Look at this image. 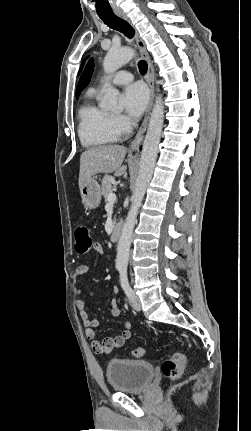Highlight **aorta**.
<instances>
[{"instance_id":"obj_1","label":"aorta","mask_w":251,"mask_h":431,"mask_svg":"<svg viewBox=\"0 0 251 431\" xmlns=\"http://www.w3.org/2000/svg\"><path fill=\"white\" fill-rule=\"evenodd\" d=\"M134 55L135 51L129 47L111 48L103 61L105 73L110 74L115 72L128 63ZM118 94L119 92L117 89L112 87L109 83H105V94L100 103V107L105 110H115L117 108ZM163 122L164 105L162 96L159 95L156 97L143 142L139 172L136 179L135 190L132 195L131 207L122 227L121 236L117 245L116 268L119 270H125L128 265L132 233L136 224L139 208L153 175Z\"/></svg>"}]
</instances>
